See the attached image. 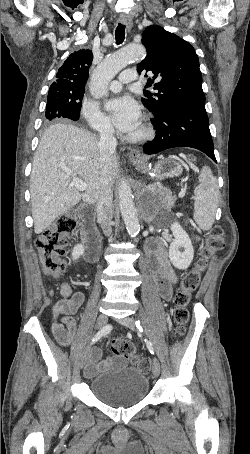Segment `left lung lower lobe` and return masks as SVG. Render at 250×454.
I'll return each mask as SVG.
<instances>
[{"label": "left lung lower lobe", "instance_id": "0a47b994", "mask_svg": "<svg viewBox=\"0 0 250 454\" xmlns=\"http://www.w3.org/2000/svg\"><path fill=\"white\" fill-rule=\"evenodd\" d=\"M151 123L156 136L143 145L145 154H156L174 147H192L217 162L205 105L173 107L152 119Z\"/></svg>", "mask_w": 250, "mask_h": 454}]
</instances>
